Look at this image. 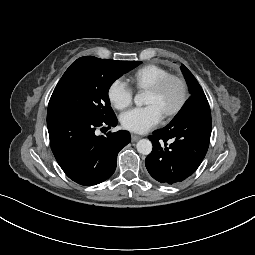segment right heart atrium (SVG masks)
I'll return each instance as SVG.
<instances>
[{
  "label": "right heart atrium",
  "mask_w": 255,
  "mask_h": 255,
  "mask_svg": "<svg viewBox=\"0 0 255 255\" xmlns=\"http://www.w3.org/2000/svg\"><path fill=\"white\" fill-rule=\"evenodd\" d=\"M107 97L114 108L123 110L131 104L133 90L123 79L117 78L109 85Z\"/></svg>",
  "instance_id": "1"
}]
</instances>
